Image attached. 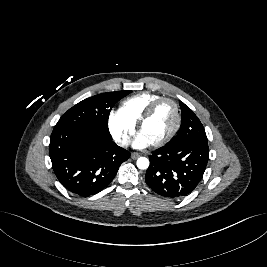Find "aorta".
Masks as SVG:
<instances>
[{
    "instance_id": "762f6f07",
    "label": "aorta",
    "mask_w": 267,
    "mask_h": 267,
    "mask_svg": "<svg viewBox=\"0 0 267 267\" xmlns=\"http://www.w3.org/2000/svg\"><path fill=\"white\" fill-rule=\"evenodd\" d=\"M136 164L139 169L144 170L149 167V160L146 157H140L137 159Z\"/></svg>"
}]
</instances>
